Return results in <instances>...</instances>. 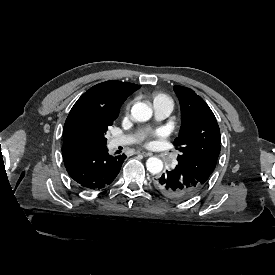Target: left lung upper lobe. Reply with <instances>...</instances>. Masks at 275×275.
Wrapping results in <instances>:
<instances>
[{
  "mask_svg": "<svg viewBox=\"0 0 275 275\" xmlns=\"http://www.w3.org/2000/svg\"><path fill=\"white\" fill-rule=\"evenodd\" d=\"M181 106L182 126L174 144L181 152L178 165L204 184L215 169L221 149L216 118L192 89L174 86Z\"/></svg>",
  "mask_w": 275,
  "mask_h": 275,
  "instance_id": "left-lung-upper-lobe-1",
  "label": "left lung upper lobe"
}]
</instances>
